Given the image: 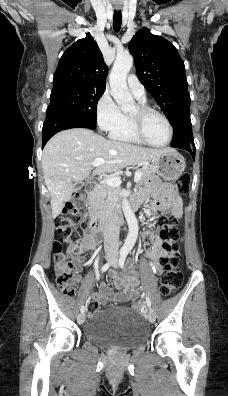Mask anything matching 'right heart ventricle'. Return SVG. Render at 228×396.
<instances>
[{
  "label": "right heart ventricle",
  "mask_w": 228,
  "mask_h": 396,
  "mask_svg": "<svg viewBox=\"0 0 228 396\" xmlns=\"http://www.w3.org/2000/svg\"><path fill=\"white\" fill-rule=\"evenodd\" d=\"M138 100L141 104H145V99H138ZM110 137L115 140H119L123 142H129L135 144L142 143L133 131L129 115H125V121L121 126L110 132Z\"/></svg>",
  "instance_id": "e07e8e85"
}]
</instances>
